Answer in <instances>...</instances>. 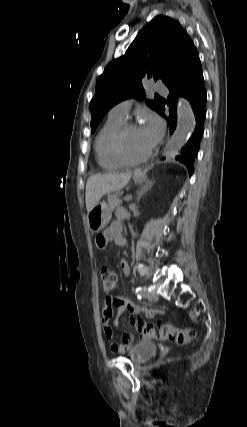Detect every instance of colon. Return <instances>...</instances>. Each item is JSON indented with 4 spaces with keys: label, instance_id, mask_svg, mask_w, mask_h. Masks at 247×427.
Returning a JSON list of instances; mask_svg holds the SVG:
<instances>
[{
    "label": "colon",
    "instance_id": "5ec220e1",
    "mask_svg": "<svg viewBox=\"0 0 247 427\" xmlns=\"http://www.w3.org/2000/svg\"><path fill=\"white\" fill-rule=\"evenodd\" d=\"M101 287L103 292L110 293L117 286L116 274L103 267L100 273ZM131 326L138 330L146 338L173 341L180 345L189 343L195 336L194 330L190 328L181 329L172 324L152 325L140 319H132Z\"/></svg>",
    "mask_w": 247,
    "mask_h": 427
}]
</instances>
